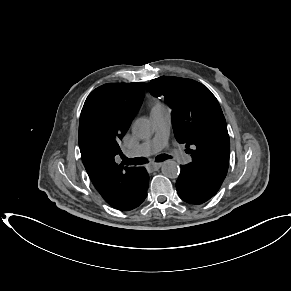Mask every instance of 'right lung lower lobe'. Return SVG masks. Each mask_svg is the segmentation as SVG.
Returning <instances> with one entry per match:
<instances>
[{
	"instance_id": "right-lung-lower-lobe-1",
	"label": "right lung lower lobe",
	"mask_w": 291,
	"mask_h": 291,
	"mask_svg": "<svg viewBox=\"0 0 291 291\" xmlns=\"http://www.w3.org/2000/svg\"><path fill=\"white\" fill-rule=\"evenodd\" d=\"M131 188L128 198L117 206H112L121 211H129L138 207L147 196L149 175L143 167L135 168L130 179Z\"/></svg>"
}]
</instances>
